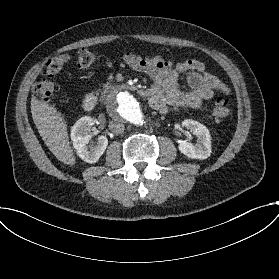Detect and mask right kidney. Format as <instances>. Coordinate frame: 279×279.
<instances>
[{"instance_id": "right-kidney-1", "label": "right kidney", "mask_w": 279, "mask_h": 279, "mask_svg": "<svg viewBox=\"0 0 279 279\" xmlns=\"http://www.w3.org/2000/svg\"><path fill=\"white\" fill-rule=\"evenodd\" d=\"M92 126V118L90 116L81 117L71 127V140L77 155L87 163H96L102 156L108 146L106 136H99L97 143L89 146V141L92 137L90 128Z\"/></svg>"}]
</instances>
